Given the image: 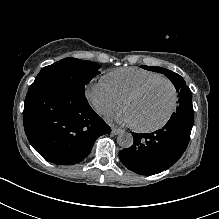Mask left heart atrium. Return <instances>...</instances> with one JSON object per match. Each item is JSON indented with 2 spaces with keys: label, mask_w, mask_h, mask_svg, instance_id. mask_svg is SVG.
I'll return each mask as SVG.
<instances>
[{
  "label": "left heart atrium",
  "mask_w": 219,
  "mask_h": 219,
  "mask_svg": "<svg viewBox=\"0 0 219 219\" xmlns=\"http://www.w3.org/2000/svg\"><path fill=\"white\" fill-rule=\"evenodd\" d=\"M114 120L128 125H136L133 114L128 110L116 115Z\"/></svg>",
  "instance_id": "left-heart-atrium-1"
}]
</instances>
